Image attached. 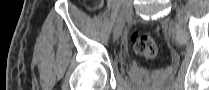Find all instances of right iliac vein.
Here are the masks:
<instances>
[{"mask_svg":"<svg viewBox=\"0 0 209 90\" xmlns=\"http://www.w3.org/2000/svg\"><path fill=\"white\" fill-rule=\"evenodd\" d=\"M131 14H132V2L125 1L122 5L120 14H119L117 21H116V25L114 28V39L119 38L125 22L131 16Z\"/></svg>","mask_w":209,"mask_h":90,"instance_id":"63e3f726","label":"right iliac vein"}]
</instances>
